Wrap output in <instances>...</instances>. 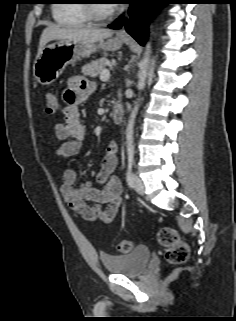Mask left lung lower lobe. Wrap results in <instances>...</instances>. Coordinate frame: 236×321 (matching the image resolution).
<instances>
[{
    "instance_id": "obj_1",
    "label": "left lung lower lobe",
    "mask_w": 236,
    "mask_h": 321,
    "mask_svg": "<svg viewBox=\"0 0 236 321\" xmlns=\"http://www.w3.org/2000/svg\"><path fill=\"white\" fill-rule=\"evenodd\" d=\"M129 9L130 20H125L123 16L119 17L115 22L109 25L111 29H119L124 24L127 32L134 38L140 45H144L148 37V24L150 20V13L148 4L155 6L160 4H167L159 0H131Z\"/></svg>"
}]
</instances>
